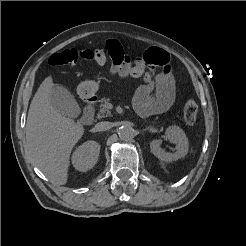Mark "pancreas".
Instances as JSON below:
<instances>
[{"label":"pancreas","mask_w":246,"mask_h":246,"mask_svg":"<svg viewBox=\"0 0 246 246\" xmlns=\"http://www.w3.org/2000/svg\"><path fill=\"white\" fill-rule=\"evenodd\" d=\"M99 102L100 105H99V112L97 114V117L104 118V117L111 116V112L107 107L109 104V99L102 98L101 100H99Z\"/></svg>","instance_id":"pancreas-1"}]
</instances>
